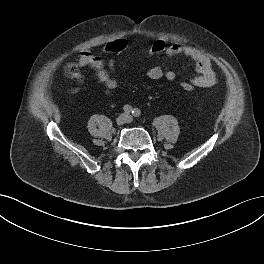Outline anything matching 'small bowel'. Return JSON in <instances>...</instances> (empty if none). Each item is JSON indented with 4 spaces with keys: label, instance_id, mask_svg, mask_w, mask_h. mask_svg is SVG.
I'll use <instances>...</instances> for the list:
<instances>
[{
    "label": "small bowel",
    "instance_id": "c3829d8e",
    "mask_svg": "<svg viewBox=\"0 0 264 264\" xmlns=\"http://www.w3.org/2000/svg\"><path fill=\"white\" fill-rule=\"evenodd\" d=\"M165 56L169 58L184 57L192 59L195 62V71L197 75L192 79L196 87H210L216 82V75L212 68L210 59L194 47L184 45L179 42L169 44L165 49ZM78 65L81 68L91 67L96 71L97 79L108 89L117 88L119 81L112 76L115 70V63L109 60L107 63L100 57L94 55L90 49H83L79 53ZM147 78L159 80L165 78L172 81L176 78L173 70H166L161 66L150 68L146 72Z\"/></svg>",
    "mask_w": 264,
    "mask_h": 264
}]
</instances>
